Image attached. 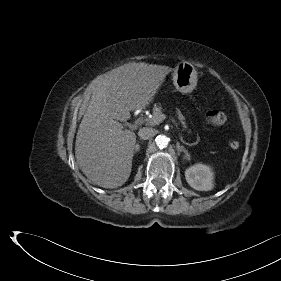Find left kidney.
<instances>
[{
	"instance_id": "left-kidney-1",
	"label": "left kidney",
	"mask_w": 281,
	"mask_h": 281,
	"mask_svg": "<svg viewBox=\"0 0 281 281\" xmlns=\"http://www.w3.org/2000/svg\"><path fill=\"white\" fill-rule=\"evenodd\" d=\"M187 183L195 190L209 191L213 189L214 173L212 168L205 164H195L185 171Z\"/></svg>"
}]
</instances>
